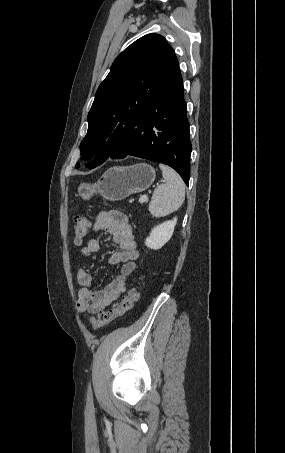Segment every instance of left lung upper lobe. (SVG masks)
<instances>
[{
    "mask_svg": "<svg viewBox=\"0 0 285 453\" xmlns=\"http://www.w3.org/2000/svg\"><path fill=\"white\" fill-rule=\"evenodd\" d=\"M175 59L172 47L158 34L139 38L115 59L97 89L80 144L84 159L97 154L87 168L101 165L120 145Z\"/></svg>",
    "mask_w": 285,
    "mask_h": 453,
    "instance_id": "left-lung-upper-lobe-1",
    "label": "left lung upper lobe"
}]
</instances>
